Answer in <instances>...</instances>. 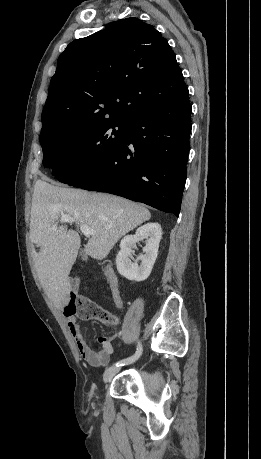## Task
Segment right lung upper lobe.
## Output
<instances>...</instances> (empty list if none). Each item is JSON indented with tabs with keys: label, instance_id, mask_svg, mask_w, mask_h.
Here are the masks:
<instances>
[{
	"label": "right lung upper lobe",
	"instance_id": "obj_1",
	"mask_svg": "<svg viewBox=\"0 0 261 459\" xmlns=\"http://www.w3.org/2000/svg\"><path fill=\"white\" fill-rule=\"evenodd\" d=\"M186 87L167 40L137 18L74 40L59 56L42 112L41 133L131 121Z\"/></svg>",
	"mask_w": 261,
	"mask_h": 459
}]
</instances>
